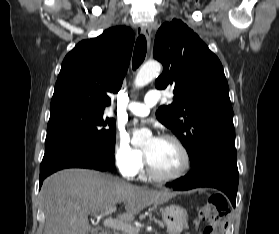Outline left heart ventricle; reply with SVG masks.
<instances>
[{"label":"left heart ventricle","instance_id":"1","mask_svg":"<svg viewBox=\"0 0 279 234\" xmlns=\"http://www.w3.org/2000/svg\"><path fill=\"white\" fill-rule=\"evenodd\" d=\"M143 150L147 153L154 170L160 175H174L183 165L182 153L171 141L151 138Z\"/></svg>","mask_w":279,"mask_h":234}]
</instances>
